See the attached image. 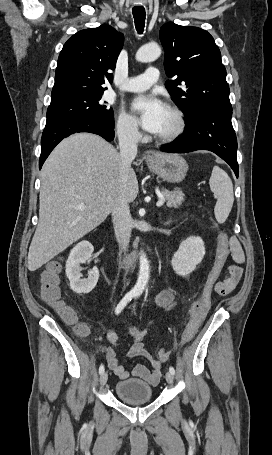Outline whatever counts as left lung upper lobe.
Here are the masks:
<instances>
[{
  "label": "left lung upper lobe",
  "instance_id": "5c2ea615",
  "mask_svg": "<svg viewBox=\"0 0 272 455\" xmlns=\"http://www.w3.org/2000/svg\"><path fill=\"white\" fill-rule=\"evenodd\" d=\"M165 49V86L185 121L214 107H231L226 69L213 37L198 27L169 22L160 29Z\"/></svg>",
  "mask_w": 272,
  "mask_h": 455
}]
</instances>
